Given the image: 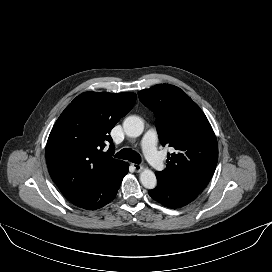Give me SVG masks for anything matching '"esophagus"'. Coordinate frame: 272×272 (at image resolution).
Returning a JSON list of instances; mask_svg holds the SVG:
<instances>
[{"instance_id":"obj_1","label":"esophagus","mask_w":272,"mask_h":272,"mask_svg":"<svg viewBox=\"0 0 272 272\" xmlns=\"http://www.w3.org/2000/svg\"><path fill=\"white\" fill-rule=\"evenodd\" d=\"M132 167L136 172H140L143 169V166L140 164L132 163Z\"/></svg>"}]
</instances>
